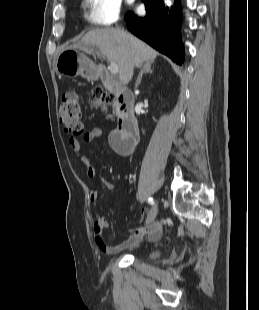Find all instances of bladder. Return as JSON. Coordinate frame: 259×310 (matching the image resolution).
Returning a JSON list of instances; mask_svg holds the SVG:
<instances>
[{"instance_id": "1", "label": "bladder", "mask_w": 259, "mask_h": 310, "mask_svg": "<svg viewBox=\"0 0 259 310\" xmlns=\"http://www.w3.org/2000/svg\"><path fill=\"white\" fill-rule=\"evenodd\" d=\"M162 255V251L158 250V249H153V250H149L146 254H145V258L146 259H157Z\"/></svg>"}]
</instances>
